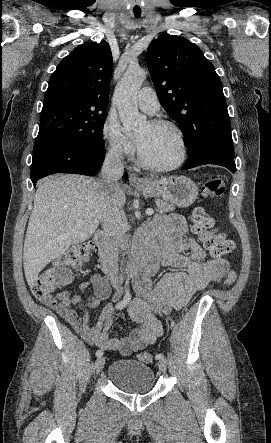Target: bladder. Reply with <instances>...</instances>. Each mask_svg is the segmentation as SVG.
I'll return each instance as SVG.
<instances>
[{"mask_svg":"<svg viewBox=\"0 0 271 443\" xmlns=\"http://www.w3.org/2000/svg\"><path fill=\"white\" fill-rule=\"evenodd\" d=\"M109 380L128 394H143L155 385V375L150 366L134 359H119L108 369Z\"/></svg>","mask_w":271,"mask_h":443,"instance_id":"31cf9c89","label":"bladder"}]
</instances>
